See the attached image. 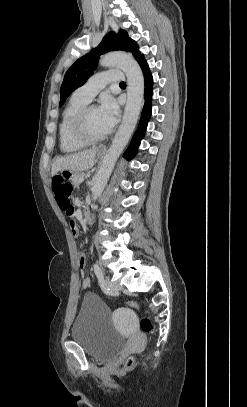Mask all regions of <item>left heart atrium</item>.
<instances>
[{"mask_svg": "<svg viewBox=\"0 0 247 407\" xmlns=\"http://www.w3.org/2000/svg\"><path fill=\"white\" fill-rule=\"evenodd\" d=\"M98 111L106 126L111 129L119 116V106L116 100L110 95L103 96Z\"/></svg>", "mask_w": 247, "mask_h": 407, "instance_id": "left-heart-atrium-1", "label": "left heart atrium"}]
</instances>
